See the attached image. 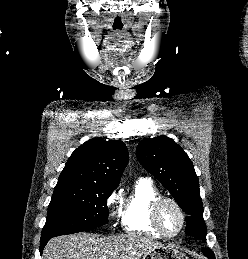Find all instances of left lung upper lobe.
I'll return each instance as SVG.
<instances>
[{"mask_svg":"<svg viewBox=\"0 0 248 259\" xmlns=\"http://www.w3.org/2000/svg\"><path fill=\"white\" fill-rule=\"evenodd\" d=\"M136 155L141 165L173 195L186 217V234L206 240L198 177L183 149L166 136L143 139Z\"/></svg>","mask_w":248,"mask_h":259,"instance_id":"5c2ea615","label":"left lung upper lobe"}]
</instances>
